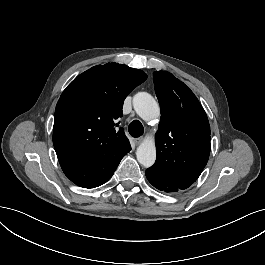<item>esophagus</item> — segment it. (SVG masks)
<instances>
[{"instance_id":"34e87169","label":"esophagus","mask_w":265,"mask_h":265,"mask_svg":"<svg viewBox=\"0 0 265 265\" xmlns=\"http://www.w3.org/2000/svg\"><path fill=\"white\" fill-rule=\"evenodd\" d=\"M133 141L136 145H138L141 141H142V138L140 137H137V138H133Z\"/></svg>"}]
</instances>
